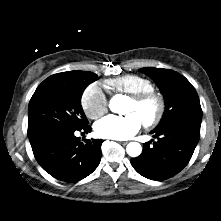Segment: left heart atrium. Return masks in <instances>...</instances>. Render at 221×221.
Here are the masks:
<instances>
[{"mask_svg": "<svg viewBox=\"0 0 221 221\" xmlns=\"http://www.w3.org/2000/svg\"><path fill=\"white\" fill-rule=\"evenodd\" d=\"M142 125V119L134 112L124 116L108 115L95 124L99 137L124 140L136 134Z\"/></svg>", "mask_w": 221, "mask_h": 221, "instance_id": "39dd6f15", "label": "left heart atrium"}]
</instances>
